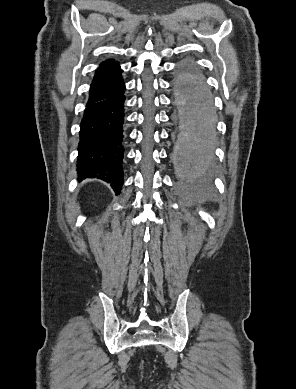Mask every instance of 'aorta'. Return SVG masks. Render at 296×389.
<instances>
[{
    "label": "aorta",
    "mask_w": 296,
    "mask_h": 389,
    "mask_svg": "<svg viewBox=\"0 0 296 389\" xmlns=\"http://www.w3.org/2000/svg\"><path fill=\"white\" fill-rule=\"evenodd\" d=\"M174 90L179 133L171 148L174 167H183L193 182L215 162L213 130L214 94L199 72H178Z\"/></svg>",
    "instance_id": "762f6f07"
}]
</instances>
